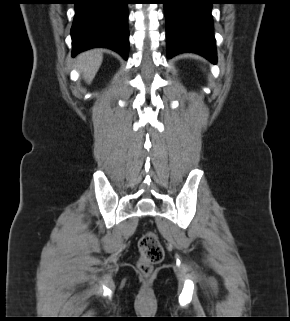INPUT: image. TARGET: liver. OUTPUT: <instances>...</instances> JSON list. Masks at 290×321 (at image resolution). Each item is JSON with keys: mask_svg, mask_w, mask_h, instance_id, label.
<instances>
[{"mask_svg": "<svg viewBox=\"0 0 290 321\" xmlns=\"http://www.w3.org/2000/svg\"><path fill=\"white\" fill-rule=\"evenodd\" d=\"M102 60L103 55L99 49L89 50L78 55L77 67L87 83H90L94 79L102 64Z\"/></svg>", "mask_w": 290, "mask_h": 321, "instance_id": "6515ba94", "label": "liver"}]
</instances>
